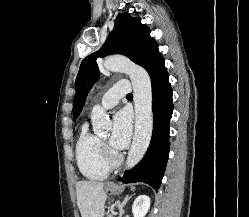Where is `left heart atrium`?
<instances>
[{"label": "left heart atrium", "instance_id": "39dd6f15", "mask_svg": "<svg viewBox=\"0 0 249 217\" xmlns=\"http://www.w3.org/2000/svg\"><path fill=\"white\" fill-rule=\"evenodd\" d=\"M131 136V119L126 111H119L113 119L110 145L117 150L124 149Z\"/></svg>", "mask_w": 249, "mask_h": 217}]
</instances>
